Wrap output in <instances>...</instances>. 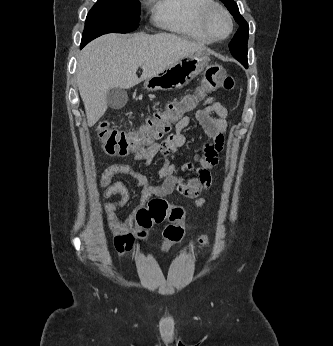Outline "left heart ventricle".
I'll return each instance as SVG.
<instances>
[{"mask_svg":"<svg viewBox=\"0 0 333 346\" xmlns=\"http://www.w3.org/2000/svg\"><path fill=\"white\" fill-rule=\"evenodd\" d=\"M210 28L215 36L222 37L227 33L229 24L222 13L215 11L210 17Z\"/></svg>","mask_w":333,"mask_h":346,"instance_id":"b2bd125f","label":"left heart ventricle"}]
</instances>
